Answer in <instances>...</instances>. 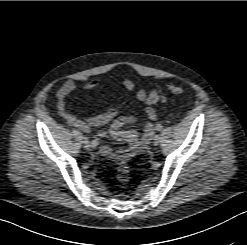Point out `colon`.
I'll use <instances>...</instances> for the list:
<instances>
[{"label":"colon","instance_id":"5ec220e1","mask_svg":"<svg viewBox=\"0 0 247 245\" xmlns=\"http://www.w3.org/2000/svg\"><path fill=\"white\" fill-rule=\"evenodd\" d=\"M169 91L175 95H182L185 92V90L182 87L176 85H170ZM161 100H162V96L158 91H152L149 94L148 101L151 104H155ZM116 177L118 182L121 183L122 185H126L129 183L131 177H130V168L127 160L122 159L119 162L117 167Z\"/></svg>","mask_w":247,"mask_h":245}]
</instances>
